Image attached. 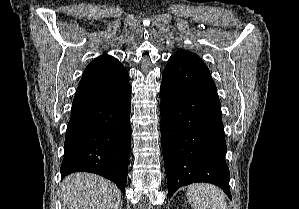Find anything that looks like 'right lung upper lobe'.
I'll use <instances>...</instances> for the list:
<instances>
[{"label":"right lung upper lobe","mask_w":299,"mask_h":209,"mask_svg":"<svg viewBox=\"0 0 299 209\" xmlns=\"http://www.w3.org/2000/svg\"><path fill=\"white\" fill-rule=\"evenodd\" d=\"M100 69H112L113 71H117V74H124L127 72L123 65L116 58L107 54L96 58L86 67L85 70L95 71Z\"/></svg>","instance_id":"cb5924a9"}]
</instances>
